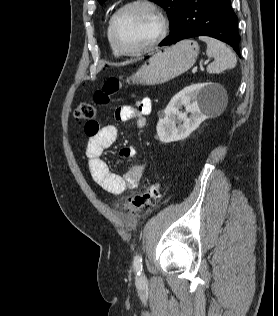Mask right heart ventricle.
Masks as SVG:
<instances>
[{
	"mask_svg": "<svg viewBox=\"0 0 278 316\" xmlns=\"http://www.w3.org/2000/svg\"><path fill=\"white\" fill-rule=\"evenodd\" d=\"M106 37H107V40H108V43H109V46H110V49L112 51V53L115 55V56H119L121 55L116 49L115 47L113 46L112 44V41H111V37H110V20L107 24V27H106Z\"/></svg>",
	"mask_w": 278,
	"mask_h": 316,
	"instance_id": "e07e8e85",
	"label": "right heart ventricle"
}]
</instances>
